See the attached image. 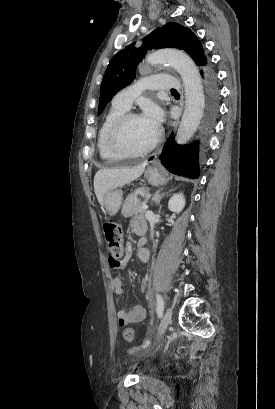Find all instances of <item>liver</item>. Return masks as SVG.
Segmentation results:
<instances>
[{
  "mask_svg": "<svg viewBox=\"0 0 275 409\" xmlns=\"http://www.w3.org/2000/svg\"><path fill=\"white\" fill-rule=\"evenodd\" d=\"M145 164H139L136 168H100L94 176V190L100 205H103L104 194L107 190H113L117 186H123L131 180L141 176Z\"/></svg>",
  "mask_w": 275,
  "mask_h": 409,
  "instance_id": "6515ba94",
  "label": "liver"
}]
</instances>
